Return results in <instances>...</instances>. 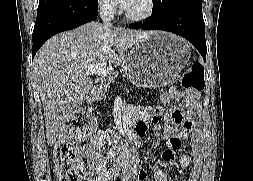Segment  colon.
<instances>
[{
    "label": "colon",
    "mask_w": 253,
    "mask_h": 181,
    "mask_svg": "<svg viewBox=\"0 0 253 181\" xmlns=\"http://www.w3.org/2000/svg\"><path fill=\"white\" fill-rule=\"evenodd\" d=\"M182 86L186 91L198 93L204 88V67L194 62L183 76ZM92 131L88 117L79 113L70 118L56 145V177L58 181H93L86 174L77 155L75 142L84 139Z\"/></svg>",
    "instance_id": "obj_1"
}]
</instances>
